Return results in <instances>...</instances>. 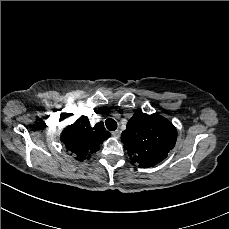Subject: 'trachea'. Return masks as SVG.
<instances>
[{
	"label": "trachea",
	"instance_id": "trachea-1",
	"mask_svg": "<svg viewBox=\"0 0 229 229\" xmlns=\"http://www.w3.org/2000/svg\"><path fill=\"white\" fill-rule=\"evenodd\" d=\"M105 125H106L107 129L110 130V131H115L117 129V127H118L117 123L112 118H108L105 121Z\"/></svg>",
	"mask_w": 229,
	"mask_h": 229
}]
</instances>
